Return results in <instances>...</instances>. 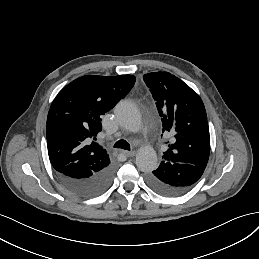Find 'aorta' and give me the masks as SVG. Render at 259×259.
Returning <instances> with one entry per match:
<instances>
[{
	"mask_svg": "<svg viewBox=\"0 0 259 259\" xmlns=\"http://www.w3.org/2000/svg\"><path fill=\"white\" fill-rule=\"evenodd\" d=\"M115 116L119 124L130 132L141 129V116L136 105L130 101H120L115 107ZM136 165L142 172H151L157 168L158 158L151 146L141 147L136 154Z\"/></svg>",
	"mask_w": 259,
	"mask_h": 259,
	"instance_id": "1",
	"label": "aorta"
}]
</instances>
